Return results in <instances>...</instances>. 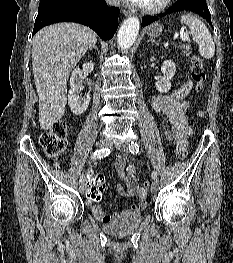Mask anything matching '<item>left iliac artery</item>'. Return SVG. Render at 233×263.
<instances>
[{
  "mask_svg": "<svg viewBox=\"0 0 233 263\" xmlns=\"http://www.w3.org/2000/svg\"><path fill=\"white\" fill-rule=\"evenodd\" d=\"M129 151L132 154H137L139 152V145L136 142H131L129 145ZM152 179L157 180V172L156 171H153Z\"/></svg>",
  "mask_w": 233,
  "mask_h": 263,
  "instance_id": "1",
  "label": "left iliac artery"
}]
</instances>
